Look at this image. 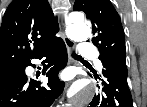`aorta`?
Listing matches in <instances>:
<instances>
[{"label": "aorta", "mask_w": 147, "mask_h": 107, "mask_svg": "<svg viewBox=\"0 0 147 107\" xmlns=\"http://www.w3.org/2000/svg\"><path fill=\"white\" fill-rule=\"evenodd\" d=\"M69 38L75 41H85L91 36V29L82 20L73 19L66 28ZM96 86L87 80L75 82L70 89L72 103L75 106H85L93 98Z\"/></svg>", "instance_id": "762f6f07"}]
</instances>
